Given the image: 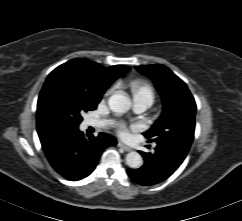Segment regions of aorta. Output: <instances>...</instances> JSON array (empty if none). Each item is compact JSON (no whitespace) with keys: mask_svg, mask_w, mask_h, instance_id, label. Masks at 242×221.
<instances>
[{"mask_svg":"<svg viewBox=\"0 0 242 221\" xmlns=\"http://www.w3.org/2000/svg\"><path fill=\"white\" fill-rule=\"evenodd\" d=\"M109 108L116 113H125L131 107L130 99L122 94L115 93L108 99ZM126 164L133 169L139 168L142 163V157L138 152L132 151L126 155Z\"/></svg>","mask_w":242,"mask_h":221,"instance_id":"obj_1","label":"aorta"}]
</instances>
